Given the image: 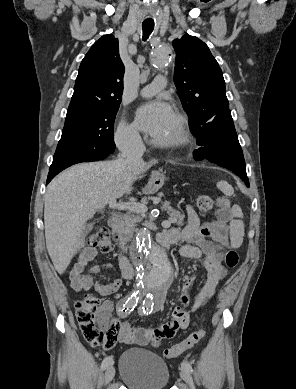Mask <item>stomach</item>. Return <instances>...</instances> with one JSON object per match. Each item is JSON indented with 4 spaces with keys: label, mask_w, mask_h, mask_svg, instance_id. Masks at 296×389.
Listing matches in <instances>:
<instances>
[{
    "label": "stomach",
    "mask_w": 296,
    "mask_h": 389,
    "mask_svg": "<svg viewBox=\"0 0 296 389\" xmlns=\"http://www.w3.org/2000/svg\"><path fill=\"white\" fill-rule=\"evenodd\" d=\"M153 177L154 178H151L146 186L145 191L147 193L158 190L160 186L165 183L166 171L162 168H157L153 172Z\"/></svg>",
    "instance_id": "stomach-1"
}]
</instances>
